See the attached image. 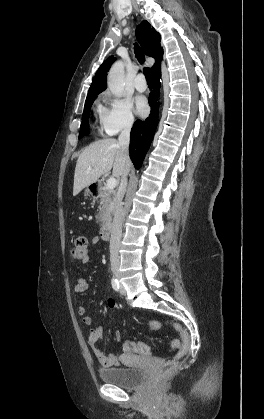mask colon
Segmentation results:
<instances>
[{
  "label": "colon",
  "mask_w": 264,
  "mask_h": 419,
  "mask_svg": "<svg viewBox=\"0 0 264 419\" xmlns=\"http://www.w3.org/2000/svg\"><path fill=\"white\" fill-rule=\"evenodd\" d=\"M71 257L73 259V261L75 262H87L89 259V243L88 240L85 237H78L75 240L74 246L71 249ZM149 327L152 331H157L160 327L159 323L157 321H151L149 324ZM176 329L179 331L180 336H181V341L178 339H174L171 342V346L174 349H178L179 352L178 354L175 356V358L168 360L166 362H164L162 364V366L160 367L159 373H158V377H165L169 374H171L177 364L178 361L187 354V352L189 351L190 348V337L189 334L187 333V331H185L184 329H182L180 326L176 325L175 326ZM131 348H135L137 349L139 352L142 353H146L147 349L144 345L142 344H132L130 346Z\"/></svg>",
  "instance_id": "colon-1"
}]
</instances>
